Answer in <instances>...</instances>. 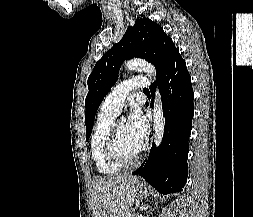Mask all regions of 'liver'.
I'll return each instance as SVG.
<instances>
[{
  "label": "liver",
  "instance_id": "obj_1",
  "mask_svg": "<svg viewBox=\"0 0 253 217\" xmlns=\"http://www.w3.org/2000/svg\"><path fill=\"white\" fill-rule=\"evenodd\" d=\"M136 182L132 175L96 179L91 199L94 217H124L136 197Z\"/></svg>",
  "mask_w": 253,
  "mask_h": 217
}]
</instances>
